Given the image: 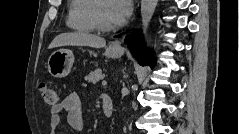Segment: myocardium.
Segmentation results:
<instances>
[{"label": "myocardium", "instance_id": "obj_1", "mask_svg": "<svg viewBox=\"0 0 239 134\" xmlns=\"http://www.w3.org/2000/svg\"><path fill=\"white\" fill-rule=\"evenodd\" d=\"M102 0H94L91 8V20L94 27L101 32H108L115 28V25L109 26L103 23L99 14V6Z\"/></svg>", "mask_w": 239, "mask_h": 134}]
</instances>
